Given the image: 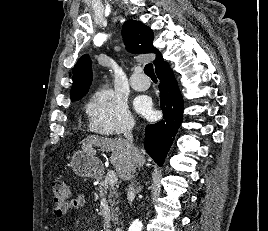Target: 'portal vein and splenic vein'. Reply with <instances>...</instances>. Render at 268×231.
<instances>
[{
    "mask_svg": "<svg viewBox=\"0 0 268 231\" xmlns=\"http://www.w3.org/2000/svg\"><path fill=\"white\" fill-rule=\"evenodd\" d=\"M106 180L110 185H115L117 184L118 177L113 170H108L107 175H106Z\"/></svg>",
    "mask_w": 268,
    "mask_h": 231,
    "instance_id": "obj_1",
    "label": "portal vein and splenic vein"
}]
</instances>
